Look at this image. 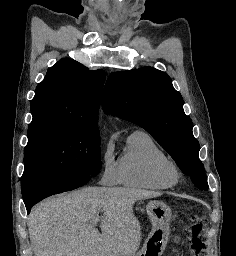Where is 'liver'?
<instances>
[{"instance_id": "liver-1", "label": "liver", "mask_w": 236, "mask_h": 256, "mask_svg": "<svg viewBox=\"0 0 236 256\" xmlns=\"http://www.w3.org/2000/svg\"><path fill=\"white\" fill-rule=\"evenodd\" d=\"M158 196L134 188H83L48 198L27 218L34 256H133L141 242L133 204ZM98 210L102 234L88 226Z\"/></svg>"}]
</instances>
